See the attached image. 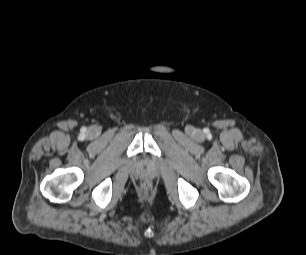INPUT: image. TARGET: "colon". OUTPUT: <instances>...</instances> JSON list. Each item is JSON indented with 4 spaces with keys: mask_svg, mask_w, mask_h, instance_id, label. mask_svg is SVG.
<instances>
[{
    "mask_svg": "<svg viewBox=\"0 0 306 255\" xmlns=\"http://www.w3.org/2000/svg\"><path fill=\"white\" fill-rule=\"evenodd\" d=\"M142 189L144 190V192H148L150 190V184L145 182L142 186Z\"/></svg>",
    "mask_w": 306,
    "mask_h": 255,
    "instance_id": "colon-1",
    "label": "colon"
}]
</instances>
